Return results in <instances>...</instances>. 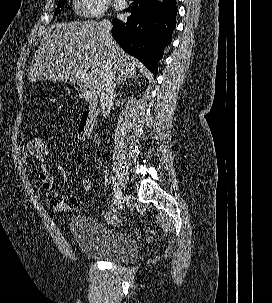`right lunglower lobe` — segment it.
Here are the masks:
<instances>
[{
  "mask_svg": "<svg viewBox=\"0 0 272 303\" xmlns=\"http://www.w3.org/2000/svg\"><path fill=\"white\" fill-rule=\"evenodd\" d=\"M126 12H131L127 22L112 20V36L157 75L158 62L176 27V0H135Z\"/></svg>",
  "mask_w": 272,
  "mask_h": 303,
  "instance_id": "1",
  "label": "right lung lower lobe"
}]
</instances>
